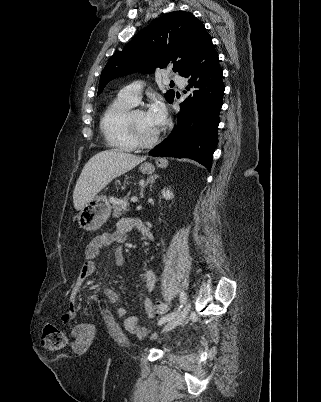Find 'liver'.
Here are the masks:
<instances>
[{"instance_id": "obj_1", "label": "liver", "mask_w": 321, "mask_h": 402, "mask_svg": "<svg viewBox=\"0 0 321 402\" xmlns=\"http://www.w3.org/2000/svg\"><path fill=\"white\" fill-rule=\"evenodd\" d=\"M145 157L124 153L117 149L104 150L89 159L82 169L73 192L76 210H81L114 178L131 170Z\"/></svg>"}]
</instances>
